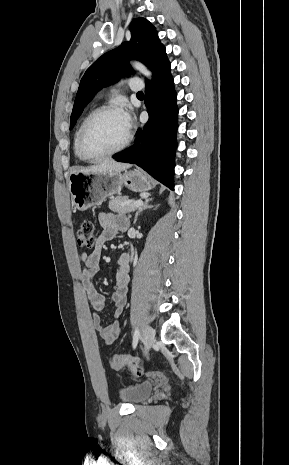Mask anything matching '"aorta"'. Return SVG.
I'll list each match as a JSON object with an SVG mask.
<instances>
[{
  "mask_svg": "<svg viewBox=\"0 0 289 465\" xmlns=\"http://www.w3.org/2000/svg\"><path fill=\"white\" fill-rule=\"evenodd\" d=\"M132 67L140 72L142 75H144L147 79L151 80L152 79V73L150 70H148L142 63L138 61H132L131 62Z\"/></svg>",
  "mask_w": 289,
  "mask_h": 465,
  "instance_id": "1",
  "label": "aorta"
}]
</instances>
